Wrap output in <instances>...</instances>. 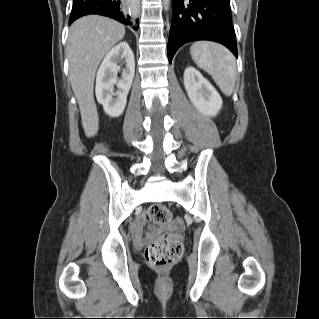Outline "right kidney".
<instances>
[{
  "label": "right kidney",
  "instance_id": "right-kidney-1",
  "mask_svg": "<svg viewBox=\"0 0 319 319\" xmlns=\"http://www.w3.org/2000/svg\"><path fill=\"white\" fill-rule=\"evenodd\" d=\"M123 61L125 69L122 78L117 79L120 70L118 63ZM135 74L134 55L127 42H120L113 47L101 63L96 77L95 93L97 101L103 105L105 112L111 117H119L126 106L127 95ZM118 90L114 93L113 86Z\"/></svg>",
  "mask_w": 319,
  "mask_h": 319
}]
</instances>
